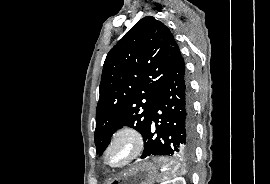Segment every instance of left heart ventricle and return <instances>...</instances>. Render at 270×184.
I'll list each match as a JSON object with an SVG mask.
<instances>
[{"mask_svg": "<svg viewBox=\"0 0 270 184\" xmlns=\"http://www.w3.org/2000/svg\"><path fill=\"white\" fill-rule=\"evenodd\" d=\"M128 153H129L128 144L125 142H122L110 152L108 156V161L111 164H118L127 157Z\"/></svg>", "mask_w": 270, "mask_h": 184, "instance_id": "left-heart-ventricle-1", "label": "left heart ventricle"}]
</instances>
